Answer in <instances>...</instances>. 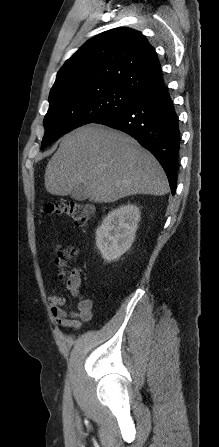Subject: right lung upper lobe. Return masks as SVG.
Wrapping results in <instances>:
<instances>
[{
    "label": "right lung upper lobe",
    "instance_id": "1",
    "mask_svg": "<svg viewBox=\"0 0 219 447\" xmlns=\"http://www.w3.org/2000/svg\"><path fill=\"white\" fill-rule=\"evenodd\" d=\"M111 85L142 97L163 85L161 65L145 36L116 28L88 40L57 73L51 89Z\"/></svg>",
    "mask_w": 219,
    "mask_h": 447
}]
</instances>
